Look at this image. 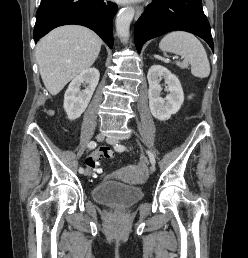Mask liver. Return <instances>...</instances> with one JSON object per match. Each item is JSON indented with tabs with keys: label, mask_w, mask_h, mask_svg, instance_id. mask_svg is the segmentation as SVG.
<instances>
[{
	"label": "liver",
	"mask_w": 248,
	"mask_h": 258,
	"mask_svg": "<svg viewBox=\"0 0 248 258\" xmlns=\"http://www.w3.org/2000/svg\"><path fill=\"white\" fill-rule=\"evenodd\" d=\"M100 37L92 30L67 25L43 37L36 46V60L46 89L57 95L65 85L90 68L99 55Z\"/></svg>",
	"instance_id": "obj_1"
}]
</instances>
